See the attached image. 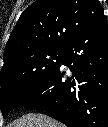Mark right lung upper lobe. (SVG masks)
Masks as SVG:
<instances>
[{"instance_id":"cb5924a9","label":"right lung upper lobe","mask_w":108,"mask_h":127,"mask_svg":"<svg viewBox=\"0 0 108 127\" xmlns=\"http://www.w3.org/2000/svg\"><path fill=\"white\" fill-rule=\"evenodd\" d=\"M104 19L97 0H37L23 11L10 34L4 64L23 54L65 50Z\"/></svg>"}]
</instances>
